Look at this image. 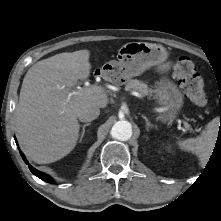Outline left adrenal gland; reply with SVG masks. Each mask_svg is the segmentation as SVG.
<instances>
[{
    "label": "left adrenal gland",
    "instance_id": "obj_1",
    "mask_svg": "<svg viewBox=\"0 0 221 221\" xmlns=\"http://www.w3.org/2000/svg\"><path fill=\"white\" fill-rule=\"evenodd\" d=\"M142 118H143V119L145 120V122H146V129H147V131H149L150 128H155V129H157V126L151 124L146 116L142 115Z\"/></svg>",
    "mask_w": 221,
    "mask_h": 221
}]
</instances>
